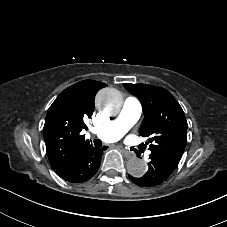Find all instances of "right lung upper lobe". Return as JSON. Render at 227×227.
Returning <instances> with one entry per match:
<instances>
[{"label":"right lung upper lobe","instance_id":"right-lung-upper-lobe-1","mask_svg":"<svg viewBox=\"0 0 227 227\" xmlns=\"http://www.w3.org/2000/svg\"><path fill=\"white\" fill-rule=\"evenodd\" d=\"M106 86L94 80L78 82L60 93L48 109L43 135L48 159L56 173L91 145L80 132L87 129L84 119L94 111L96 93Z\"/></svg>","mask_w":227,"mask_h":227}]
</instances>
